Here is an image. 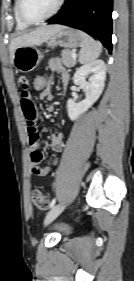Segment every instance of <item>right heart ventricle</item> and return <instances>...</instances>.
I'll return each mask as SVG.
<instances>
[{
  "label": "right heart ventricle",
  "mask_w": 134,
  "mask_h": 281,
  "mask_svg": "<svg viewBox=\"0 0 134 281\" xmlns=\"http://www.w3.org/2000/svg\"><path fill=\"white\" fill-rule=\"evenodd\" d=\"M14 16H15V21H16V27L18 30H25L29 27V24L24 23L18 16L17 1L15 2V5H14Z\"/></svg>",
  "instance_id": "right-heart-ventricle-1"
}]
</instances>
